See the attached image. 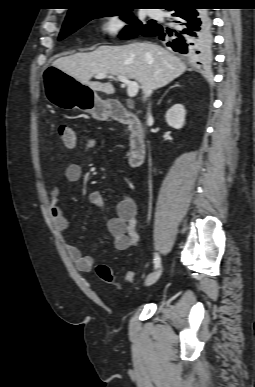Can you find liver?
<instances>
[{
    "label": "liver",
    "instance_id": "6515ba94",
    "mask_svg": "<svg viewBox=\"0 0 255 387\" xmlns=\"http://www.w3.org/2000/svg\"><path fill=\"white\" fill-rule=\"evenodd\" d=\"M53 66L92 90L106 94L114 93L113 85L91 81L94 75L105 73L109 78L121 75L134 79L140 84L144 97L186 71V65L178 57L149 42L103 45L92 52L60 57Z\"/></svg>",
    "mask_w": 255,
    "mask_h": 387
}]
</instances>
